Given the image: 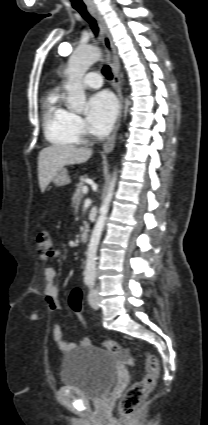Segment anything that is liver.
Returning a JSON list of instances; mask_svg holds the SVG:
<instances>
[{
    "label": "liver",
    "mask_w": 208,
    "mask_h": 425,
    "mask_svg": "<svg viewBox=\"0 0 208 425\" xmlns=\"http://www.w3.org/2000/svg\"><path fill=\"white\" fill-rule=\"evenodd\" d=\"M92 150L69 145H53L42 149L38 157V179L41 192H44L55 174L66 165L88 161Z\"/></svg>",
    "instance_id": "1"
}]
</instances>
